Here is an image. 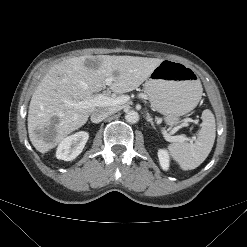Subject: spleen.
Returning <instances> with one entry per match:
<instances>
[{
    "label": "spleen",
    "instance_id": "1",
    "mask_svg": "<svg viewBox=\"0 0 247 247\" xmlns=\"http://www.w3.org/2000/svg\"><path fill=\"white\" fill-rule=\"evenodd\" d=\"M216 136L215 118L211 110L202 113V126L195 143H173L168 150L183 170H192L200 166L213 147Z\"/></svg>",
    "mask_w": 247,
    "mask_h": 247
}]
</instances>
